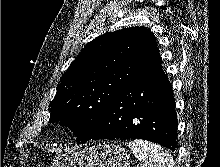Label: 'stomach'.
Returning a JSON list of instances; mask_svg holds the SVG:
<instances>
[{
    "instance_id": "obj_1",
    "label": "stomach",
    "mask_w": 220,
    "mask_h": 167,
    "mask_svg": "<svg viewBox=\"0 0 220 167\" xmlns=\"http://www.w3.org/2000/svg\"><path fill=\"white\" fill-rule=\"evenodd\" d=\"M51 167H129V156L118 145H97L57 157Z\"/></svg>"
}]
</instances>
